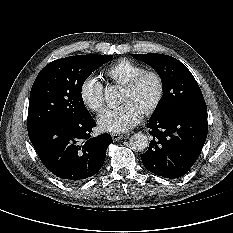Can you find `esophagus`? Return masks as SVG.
Masks as SVG:
<instances>
[{
  "label": "esophagus",
  "instance_id": "esophagus-1",
  "mask_svg": "<svg viewBox=\"0 0 233 233\" xmlns=\"http://www.w3.org/2000/svg\"><path fill=\"white\" fill-rule=\"evenodd\" d=\"M111 137H112L113 141H119L123 138H126L127 136L113 133V134H111Z\"/></svg>",
  "mask_w": 233,
  "mask_h": 233
}]
</instances>
